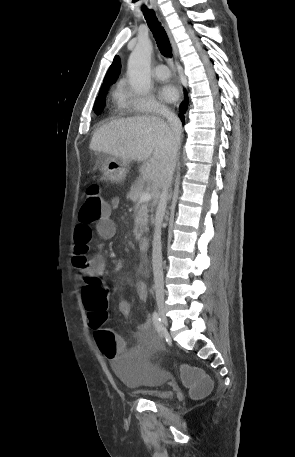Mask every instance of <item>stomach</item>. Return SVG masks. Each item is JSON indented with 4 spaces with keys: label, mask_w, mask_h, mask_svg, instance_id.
<instances>
[{
    "label": "stomach",
    "mask_w": 295,
    "mask_h": 457,
    "mask_svg": "<svg viewBox=\"0 0 295 457\" xmlns=\"http://www.w3.org/2000/svg\"><path fill=\"white\" fill-rule=\"evenodd\" d=\"M101 162V169L106 180L113 183L123 181L129 171V162L120 157L98 154Z\"/></svg>",
    "instance_id": "stomach-1"
}]
</instances>
